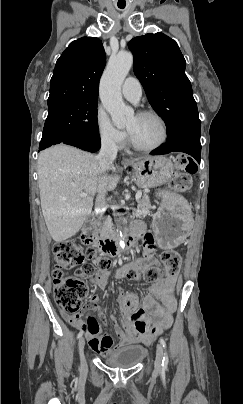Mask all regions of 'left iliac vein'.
<instances>
[{"instance_id": "1", "label": "left iliac vein", "mask_w": 243, "mask_h": 404, "mask_svg": "<svg viewBox=\"0 0 243 404\" xmlns=\"http://www.w3.org/2000/svg\"><path fill=\"white\" fill-rule=\"evenodd\" d=\"M162 361H163V347L161 344H158L156 348V359H155V371L157 373L161 370Z\"/></svg>"}]
</instances>
